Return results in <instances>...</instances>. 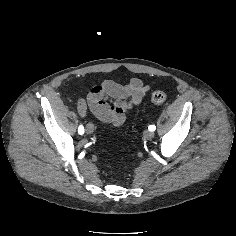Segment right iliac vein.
I'll return each instance as SVG.
<instances>
[{"instance_id": "63e3f726", "label": "right iliac vein", "mask_w": 236, "mask_h": 236, "mask_svg": "<svg viewBox=\"0 0 236 236\" xmlns=\"http://www.w3.org/2000/svg\"><path fill=\"white\" fill-rule=\"evenodd\" d=\"M93 131H94V125L91 124V123L87 124V126H86V133L87 134H92Z\"/></svg>"}]
</instances>
